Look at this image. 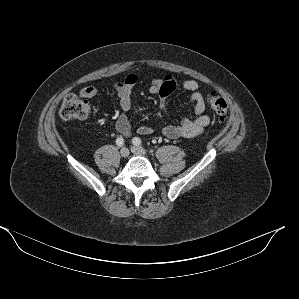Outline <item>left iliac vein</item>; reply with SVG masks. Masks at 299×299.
I'll list each match as a JSON object with an SVG mask.
<instances>
[{"label":"left iliac vein","instance_id":"left-iliac-vein-1","mask_svg":"<svg viewBox=\"0 0 299 299\" xmlns=\"http://www.w3.org/2000/svg\"><path fill=\"white\" fill-rule=\"evenodd\" d=\"M131 152L136 155H142V156L147 154V151L143 147H140V146L131 147Z\"/></svg>","mask_w":299,"mask_h":299}]
</instances>
